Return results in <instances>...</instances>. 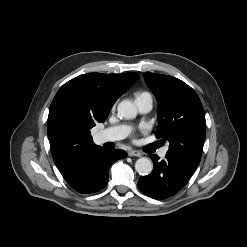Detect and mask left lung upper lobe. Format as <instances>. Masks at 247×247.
<instances>
[{
	"label": "left lung upper lobe",
	"mask_w": 247,
	"mask_h": 247,
	"mask_svg": "<svg viewBox=\"0 0 247 247\" xmlns=\"http://www.w3.org/2000/svg\"><path fill=\"white\" fill-rule=\"evenodd\" d=\"M145 82L158 102L157 138L167 139L166 154L197 167L205 140L204 109L197 93L183 81L163 74L145 73Z\"/></svg>",
	"instance_id": "1"
}]
</instances>
